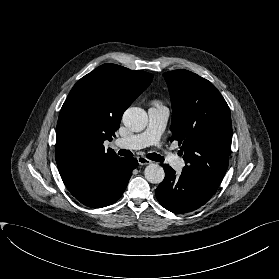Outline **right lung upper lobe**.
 I'll use <instances>...</instances> for the list:
<instances>
[{
  "mask_svg": "<svg viewBox=\"0 0 279 279\" xmlns=\"http://www.w3.org/2000/svg\"><path fill=\"white\" fill-rule=\"evenodd\" d=\"M153 75L103 64L82 77L65 100L57 123L55 156L69 191L114 167L122 158L104 151L124 111L149 86Z\"/></svg>",
  "mask_w": 279,
  "mask_h": 279,
  "instance_id": "1",
  "label": "right lung upper lobe"
}]
</instances>
